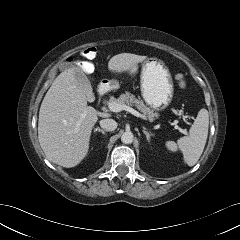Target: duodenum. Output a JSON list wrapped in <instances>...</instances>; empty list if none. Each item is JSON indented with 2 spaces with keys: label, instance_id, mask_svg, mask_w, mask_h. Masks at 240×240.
Returning a JSON list of instances; mask_svg holds the SVG:
<instances>
[{
  "label": "duodenum",
  "instance_id": "duodenum-1",
  "mask_svg": "<svg viewBox=\"0 0 240 240\" xmlns=\"http://www.w3.org/2000/svg\"><path fill=\"white\" fill-rule=\"evenodd\" d=\"M97 91H98L99 97L102 98L109 91L108 84L102 83L101 85H99Z\"/></svg>",
  "mask_w": 240,
  "mask_h": 240
}]
</instances>
